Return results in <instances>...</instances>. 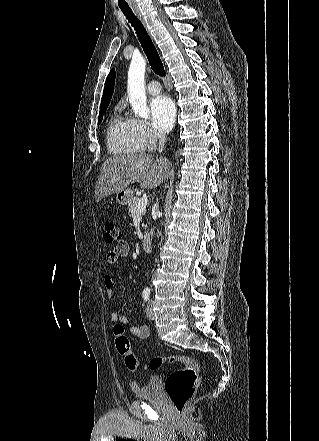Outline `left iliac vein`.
<instances>
[{
    "label": "left iliac vein",
    "instance_id": "4c4485c4",
    "mask_svg": "<svg viewBox=\"0 0 319 441\" xmlns=\"http://www.w3.org/2000/svg\"><path fill=\"white\" fill-rule=\"evenodd\" d=\"M147 317L150 320H153L155 318V314H154V311H153V301L152 300H150L148 302V305H147Z\"/></svg>",
    "mask_w": 319,
    "mask_h": 441
}]
</instances>
